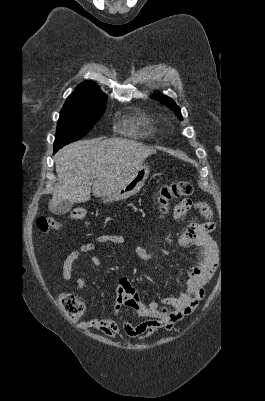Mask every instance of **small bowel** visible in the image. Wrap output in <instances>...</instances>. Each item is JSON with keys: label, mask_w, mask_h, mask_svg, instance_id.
I'll list each match as a JSON object with an SVG mask.
<instances>
[{"label": "small bowel", "mask_w": 265, "mask_h": 401, "mask_svg": "<svg viewBox=\"0 0 265 401\" xmlns=\"http://www.w3.org/2000/svg\"><path fill=\"white\" fill-rule=\"evenodd\" d=\"M191 210H196L203 221L193 218L187 225L183 226V231L177 240L179 246L186 247L193 244L199 248L195 255V265L186 274V292L179 297L161 299L164 307L159 310V303L156 301L144 304L138 291L131 285L129 278L122 277L116 288L112 314L82 322L80 324L81 329L93 328L112 339L126 335L141 341L152 336L161 327L171 328L176 322L197 309L200 300L205 295L204 285L210 280L216 269L218 250L216 243L209 235L215 225L212 209L206 202L193 201L188 198L177 201L173 212L175 220L182 223L185 215ZM124 241L125 239L121 235L103 234L96 237L94 241L82 244L65 258L62 266L63 279L66 282L71 280L74 263L83 254L93 251L97 244L113 243L119 245ZM135 255L144 262L152 259V254L140 244L135 248ZM89 260L94 266L99 267L101 265L100 259L96 256H91ZM85 282V277H80L76 282L75 289L81 290ZM123 307H129L139 317L148 319L138 324H132L124 319L119 324L117 317Z\"/></svg>", "instance_id": "1"}]
</instances>
